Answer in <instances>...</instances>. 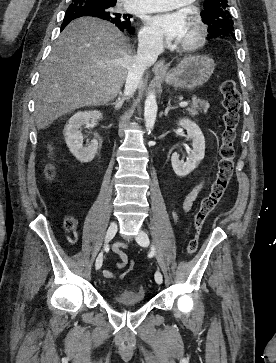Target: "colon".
Masks as SVG:
<instances>
[{
    "instance_id": "5ec220e1",
    "label": "colon",
    "mask_w": 276,
    "mask_h": 363,
    "mask_svg": "<svg viewBox=\"0 0 276 363\" xmlns=\"http://www.w3.org/2000/svg\"><path fill=\"white\" fill-rule=\"evenodd\" d=\"M219 90L223 98L225 112L223 115L224 128L221 132L218 170L209 193L202 199L199 208L194 214L193 233L186 248L188 255L196 253L200 230L208 215L223 198L234 170L236 129L240 118L239 109L241 105V95L233 80L222 81ZM46 175L48 177H53L54 168L52 166L46 168ZM74 225L75 221L72 217L68 216L65 218L64 227L66 230L69 231L73 229ZM133 266L134 262L130 261L129 269L133 268Z\"/></svg>"
}]
</instances>
